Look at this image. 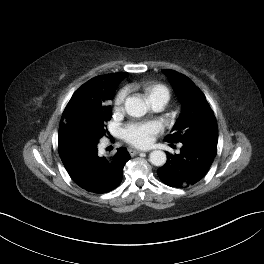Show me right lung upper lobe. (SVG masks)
<instances>
[{
  "mask_svg": "<svg viewBox=\"0 0 264 264\" xmlns=\"http://www.w3.org/2000/svg\"><path fill=\"white\" fill-rule=\"evenodd\" d=\"M128 73H112L98 76L83 86H81L72 96L67 104L61 119L59 130L76 113L91 109L107 100L111 99L116 86L126 78Z\"/></svg>",
  "mask_w": 264,
  "mask_h": 264,
  "instance_id": "obj_1",
  "label": "right lung upper lobe"
}]
</instances>
